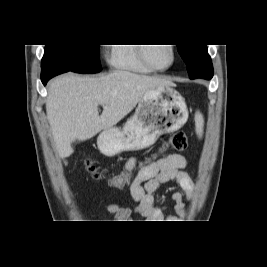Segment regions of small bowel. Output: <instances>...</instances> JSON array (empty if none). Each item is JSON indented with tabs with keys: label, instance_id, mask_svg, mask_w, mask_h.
<instances>
[{
	"label": "small bowel",
	"instance_id": "1",
	"mask_svg": "<svg viewBox=\"0 0 267 267\" xmlns=\"http://www.w3.org/2000/svg\"><path fill=\"white\" fill-rule=\"evenodd\" d=\"M186 160L179 154H165L160 159L149 163L139 164L136 157H131L125 164L124 171H128V177L136 171L132 182H129L130 193L135 207H123L111 204L107 210L114 214L118 222H127L133 214L142 216L150 221L159 222L167 219L162 211L154 206V193L165 183L176 181L182 188V192H175V210L177 217L186 215L184 195L190 198L193 194L194 184L190 175L184 171ZM123 186V185H122ZM170 217V218H177Z\"/></svg>",
	"mask_w": 267,
	"mask_h": 267
}]
</instances>
